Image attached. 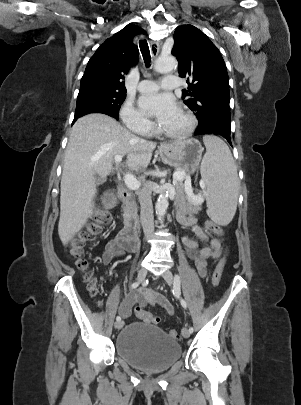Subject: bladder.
I'll return each instance as SVG.
<instances>
[{"label": "bladder", "instance_id": "bladder-1", "mask_svg": "<svg viewBox=\"0 0 301 405\" xmlns=\"http://www.w3.org/2000/svg\"><path fill=\"white\" fill-rule=\"evenodd\" d=\"M117 355L131 366L145 372H162L181 355V346L160 328L132 322L119 331L115 340Z\"/></svg>", "mask_w": 301, "mask_h": 405}]
</instances>
